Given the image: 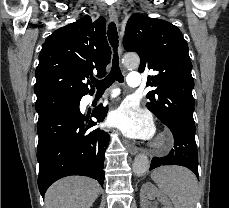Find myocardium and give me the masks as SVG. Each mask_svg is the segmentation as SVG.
I'll use <instances>...</instances> for the list:
<instances>
[{
	"label": "myocardium",
	"mask_w": 229,
	"mask_h": 208,
	"mask_svg": "<svg viewBox=\"0 0 229 208\" xmlns=\"http://www.w3.org/2000/svg\"><path fill=\"white\" fill-rule=\"evenodd\" d=\"M173 145V134L169 130H161L157 133L150 147L156 153H163L168 151Z\"/></svg>",
	"instance_id": "myocardium-1"
}]
</instances>
